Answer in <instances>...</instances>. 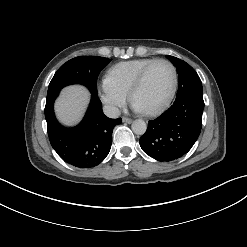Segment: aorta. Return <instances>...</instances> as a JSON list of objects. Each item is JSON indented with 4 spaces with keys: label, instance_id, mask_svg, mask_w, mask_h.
I'll return each mask as SVG.
<instances>
[{
    "label": "aorta",
    "instance_id": "1",
    "mask_svg": "<svg viewBox=\"0 0 247 247\" xmlns=\"http://www.w3.org/2000/svg\"><path fill=\"white\" fill-rule=\"evenodd\" d=\"M147 129L145 121L138 119L132 123V130L137 135H143Z\"/></svg>",
    "mask_w": 247,
    "mask_h": 247
}]
</instances>
